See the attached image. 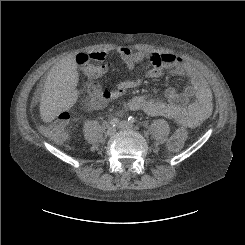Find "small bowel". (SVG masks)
<instances>
[{
	"label": "small bowel",
	"mask_w": 245,
	"mask_h": 245,
	"mask_svg": "<svg viewBox=\"0 0 245 245\" xmlns=\"http://www.w3.org/2000/svg\"><path fill=\"white\" fill-rule=\"evenodd\" d=\"M94 61L102 63V66L94 70L97 74L105 73L110 62L108 58L119 57L130 71L135 65L146 61L147 68L141 76L130 77L117 83L113 90L97 92L88 85L87 92L89 101L83 104V110L90 112L104 108L112 99L123 96L127 91L141 86L146 79L159 78L165 74H177L189 79L184 91L179 92L170 88L165 92L168 102L158 101L149 96H135L128 102V108L134 111H143L148 115H163L176 124L192 127L203 122L211 111V91L203 76L183 58L174 54L158 52H135L129 47H120L106 51H94L91 53ZM74 67L64 68L65 72L71 74ZM193 98V102L188 103Z\"/></svg>",
	"instance_id": "c3829d8e"
}]
</instances>
